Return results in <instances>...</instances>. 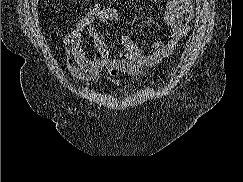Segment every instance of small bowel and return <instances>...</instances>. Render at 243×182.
Returning <instances> with one entry per match:
<instances>
[{"instance_id":"small-bowel-1","label":"small bowel","mask_w":243,"mask_h":182,"mask_svg":"<svg viewBox=\"0 0 243 182\" xmlns=\"http://www.w3.org/2000/svg\"><path fill=\"white\" fill-rule=\"evenodd\" d=\"M193 16L192 0H168L163 15V23L169 28L168 35L164 39L152 41L149 45L150 53L146 54L129 35L124 34L120 38L122 47L116 50V57L113 58L94 23L117 20L120 15L114 9L101 8L95 4L77 22L67 37L68 69L81 81H100L105 73L106 81L120 84L115 80L116 76L122 73L139 75L145 68L155 67L169 58L179 42L188 35L189 23ZM86 34L93 41L95 54H91Z\"/></svg>"}]
</instances>
